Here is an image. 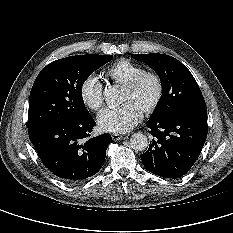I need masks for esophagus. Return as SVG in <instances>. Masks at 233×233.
I'll return each instance as SVG.
<instances>
[{"label":"esophagus","mask_w":233,"mask_h":233,"mask_svg":"<svg viewBox=\"0 0 233 233\" xmlns=\"http://www.w3.org/2000/svg\"><path fill=\"white\" fill-rule=\"evenodd\" d=\"M112 136V139H113V141H119V140H121V139H125V138H127V136H122V135H119V134H112L111 135Z\"/></svg>","instance_id":"1"}]
</instances>
